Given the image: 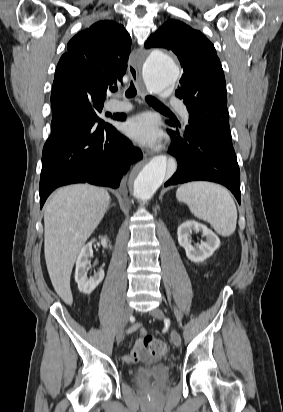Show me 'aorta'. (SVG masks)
Wrapping results in <instances>:
<instances>
[{
    "label": "aorta",
    "mask_w": 283,
    "mask_h": 412,
    "mask_svg": "<svg viewBox=\"0 0 283 412\" xmlns=\"http://www.w3.org/2000/svg\"><path fill=\"white\" fill-rule=\"evenodd\" d=\"M142 71L147 89L155 94H163L172 89L180 74L173 59L161 50L150 53ZM166 171L167 158L162 155L154 157L135 173L132 179L134 196L143 201L151 199L163 183Z\"/></svg>",
    "instance_id": "obj_1"
}]
</instances>
